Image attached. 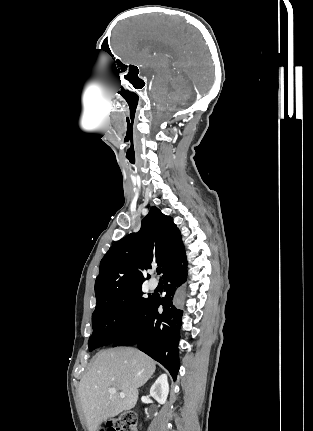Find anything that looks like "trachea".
Returning <instances> with one entry per match:
<instances>
[{
  "instance_id": "1",
  "label": "trachea",
  "mask_w": 313,
  "mask_h": 431,
  "mask_svg": "<svg viewBox=\"0 0 313 431\" xmlns=\"http://www.w3.org/2000/svg\"><path fill=\"white\" fill-rule=\"evenodd\" d=\"M161 271H162L161 267H158V268H157V274H160V273H161Z\"/></svg>"
}]
</instances>
